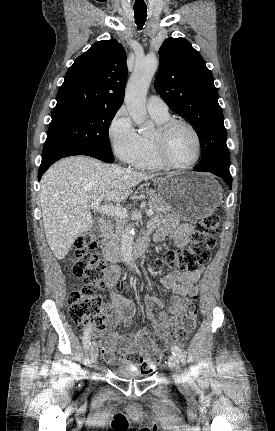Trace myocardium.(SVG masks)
I'll return each mask as SVG.
<instances>
[{"mask_svg": "<svg viewBox=\"0 0 275 431\" xmlns=\"http://www.w3.org/2000/svg\"><path fill=\"white\" fill-rule=\"evenodd\" d=\"M178 125L187 127L192 132L196 141V155L194 159L187 164H177L173 162L168 155L169 136L173 131V129ZM153 143L155 148V154L158 160L160 161V163L165 168L176 169V170L190 169L193 166H195L198 163L199 159L201 158V154H202L201 137L197 129L190 122L183 119L170 118L169 120L159 125L155 135L153 136Z\"/></svg>", "mask_w": 275, "mask_h": 431, "instance_id": "myocardium-1", "label": "myocardium"}]
</instances>
